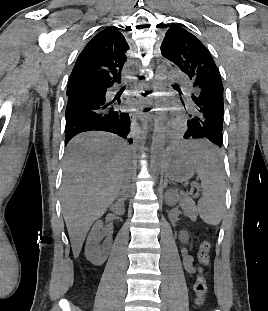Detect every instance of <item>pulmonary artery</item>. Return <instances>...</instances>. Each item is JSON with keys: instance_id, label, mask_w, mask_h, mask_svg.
I'll return each instance as SVG.
<instances>
[{"instance_id": "1", "label": "pulmonary artery", "mask_w": 268, "mask_h": 311, "mask_svg": "<svg viewBox=\"0 0 268 311\" xmlns=\"http://www.w3.org/2000/svg\"><path fill=\"white\" fill-rule=\"evenodd\" d=\"M175 74H176L175 72H172V73H171V75H175ZM183 80H184V83H187V82H186V79H183Z\"/></svg>"}]
</instances>
